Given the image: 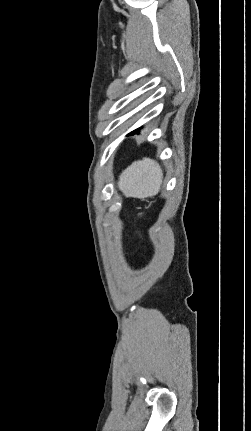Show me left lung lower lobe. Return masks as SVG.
Returning <instances> with one entry per match:
<instances>
[{
	"instance_id": "0a47b994",
	"label": "left lung lower lobe",
	"mask_w": 251,
	"mask_h": 431,
	"mask_svg": "<svg viewBox=\"0 0 251 431\" xmlns=\"http://www.w3.org/2000/svg\"><path fill=\"white\" fill-rule=\"evenodd\" d=\"M139 130H140V128H138V129L134 130V131H133V132H131L130 134L138 133V132H139Z\"/></svg>"
}]
</instances>
